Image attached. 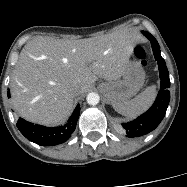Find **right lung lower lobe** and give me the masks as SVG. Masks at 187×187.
Segmentation results:
<instances>
[{"mask_svg": "<svg viewBox=\"0 0 187 187\" xmlns=\"http://www.w3.org/2000/svg\"><path fill=\"white\" fill-rule=\"evenodd\" d=\"M8 98H10L9 90ZM79 114L80 105L78 104L64 126L49 128L30 123L22 118H19L16 125L28 140L42 146H53L61 144L70 138L75 130Z\"/></svg>", "mask_w": 187, "mask_h": 187, "instance_id": "right-lung-lower-lobe-1", "label": "right lung lower lobe"}]
</instances>
